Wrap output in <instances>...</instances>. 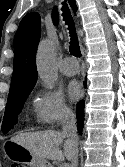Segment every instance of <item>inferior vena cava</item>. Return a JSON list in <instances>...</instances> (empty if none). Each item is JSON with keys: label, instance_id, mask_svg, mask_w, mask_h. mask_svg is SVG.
<instances>
[{"label": "inferior vena cava", "instance_id": "1", "mask_svg": "<svg viewBox=\"0 0 125 167\" xmlns=\"http://www.w3.org/2000/svg\"><path fill=\"white\" fill-rule=\"evenodd\" d=\"M62 133L73 143V153L69 167L78 166V134L75 114L69 108H63L60 114Z\"/></svg>", "mask_w": 125, "mask_h": 167}]
</instances>
